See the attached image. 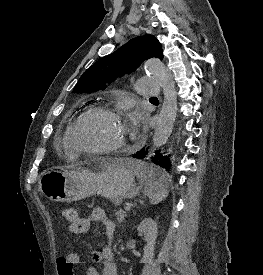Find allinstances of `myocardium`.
Instances as JSON below:
<instances>
[{"label": "myocardium", "mask_w": 263, "mask_h": 275, "mask_svg": "<svg viewBox=\"0 0 263 275\" xmlns=\"http://www.w3.org/2000/svg\"><path fill=\"white\" fill-rule=\"evenodd\" d=\"M108 115L116 120H118L124 127H126L129 130L128 137L123 138L119 143H117L114 146L108 147V148H102V149H94V148H86L81 146L77 141V132L81 124L87 120L88 118L95 116V115ZM134 134L132 130L128 127V125L124 122L122 119L120 113L115 110L114 108H111L109 106H94L83 112L81 115H79L75 121L73 122L69 135H68V141L70 143V146L72 147L73 151L77 154H84V155H91V156H100V155H110L119 153L123 150H125L129 142L133 139Z\"/></svg>", "instance_id": "myocardium-1"}]
</instances>
